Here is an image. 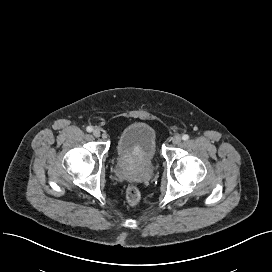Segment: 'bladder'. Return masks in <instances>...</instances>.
<instances>
[{
  "mask_svg": "<svg viewBox=\"0 0 272 272\" xmlns=\"http://www.w3.org/2000/svg\"><path fill=\"white\" fill-rule=\"evenodd\" d=\"M116 150L122 160L150 162L157 151V132L145 122H134L119 134Z\"/></svg>",
  "mask_w": 272,
  "mask_h": 272,
  "instance_id": "1",
  "label": "bladder"
}]
</instances>
